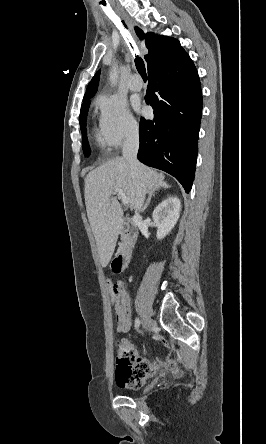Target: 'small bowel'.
Masks as SVG:
<instances>
[{"instance_id":"small-bowel-1","label":"small bowel","mask_w":266,"mask_h":444,"mask_svg":"<svg viewBox=\"0 0 266 444\" xmlns=\"http://www.w3.org/2000/svg\"><path fill=\"white\" fill-rule=\"evenodd\" d=\"M117 329L126 333L131 327V300L127 292H123L120 304L115 308ZM165 343V342H164ZM159 371L178 372L174 359L161 360L157 357L148 359L137 355L134 346L127 340L118 343L115 368V381L121 388L139 389L146 380Z\"/></svg>"}]
</instances>
